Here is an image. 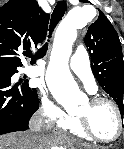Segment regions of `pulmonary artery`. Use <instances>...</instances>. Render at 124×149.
<instances>
[{"label": "pulmonary artery", "mask_w": 124, "mask_h": 149, "mask_svg": "<svg viewBox=\"0 0 124 149\" xmlns=\"http://www.w3.org/2000/svg\"><path fill=\"white\" fill-rule=\"evenodd\" d=\"M70 68L83 81L88 92L96 93L97 84L91 70L87 51L84 48L79 47L76 50V53L70 62ZM42 73L43 69L41 68L27 71L28 76H37Z\"/></svg>", "instance_id": "e3ab8cb5"}]
</instances>
